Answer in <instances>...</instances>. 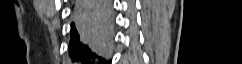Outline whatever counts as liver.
<instances>
[{
	"label": "liver",
	"mask_w": 242,
	"mask_h": 64,
	"mask_svg": "<svg viewBox=\"0 0 242 64\" xmlns=\"http://www.w3.org/2000/svg\"><path fill=\"white\" fill-rule=\"evenodd\" d=\"M75 20L78 21L81 28L89 36L102 35L104 32H106V29L104 28L102 22L97 15L91 14L88 19L82 20H80L77 15H75Z\"/></svg>",
	"instance_id": "liver-1"
}]
</instances>
